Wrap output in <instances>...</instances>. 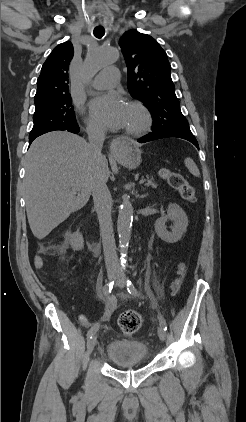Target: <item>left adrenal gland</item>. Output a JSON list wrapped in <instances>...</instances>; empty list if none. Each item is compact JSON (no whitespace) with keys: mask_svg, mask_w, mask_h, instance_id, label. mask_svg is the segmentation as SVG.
<instances>
[{"mask_svg":"<svg viewBox=\"0 0 246 422\" xmlns=\"http://www.w3.org/2000/svg\"><path fill=\"white\" fill-rule=\"evenodd\" d=\"M146 196L147 194L145 193V194L140 195L139 198H145Z\"/></svg>","mask_w":246,"mask_h":422,"instance_id":"a2214340","label":"left adrenal gland"}]
</instances>
